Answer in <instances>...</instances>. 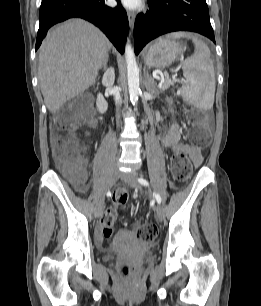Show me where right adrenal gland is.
<instances>
[{
  "mask_svg": "<svg viewBox=\"0 0 261 306\" xmlns=\"http://www.w3.org/2000/svg\"><path fill=\"white\" fill-rule=\"evenodd\" d=\"M107 62H108V59H107L106 62L102 65V67H101L100 69H102V68L106 69V68H107Z\"/></svg>",
  "mask_w": 261,
  "mask_h": 306,
  "instance_id": "2a0ac1e0",
  "label": "right adrenal gland"
}]
</instances>
